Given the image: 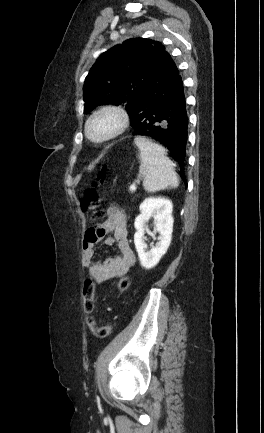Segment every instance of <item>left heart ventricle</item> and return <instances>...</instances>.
<instances>
[{
	"mask_svg": "<svg viewBox=\"0 0 264 433\" xmlns=\"http://www.w3.org/2000/svg\"><path fill=\"white\" fill-rule=\"evenodd\" d=\"M113 123H114L113 118L104 117V118L100 119L99 121H97L95 124H93L92 132L94 134L103 133V132L107 131L108 129H110L113 126Z\"/></svg>",
	"mask_w": 264,
	"mask_h": 433,
	"instance_id": "b2bd125f",
	"label": "left heart ventricle"
}]
</instances>
